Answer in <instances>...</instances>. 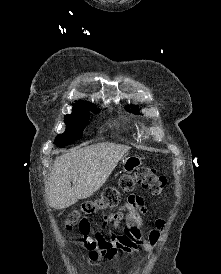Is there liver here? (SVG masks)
<instances>
[{"instance_id":"6515ba94","label":"liver","mask_w":221,"mask_h":274,"mask_svg":"<svg viewBox=\"0 0 221 274\" xmlns=\"http://www.w3.org/2000/svg\"><path fill=\"white\" fill-rule=\"evenodd\" d=\"M129 150L130 147L124 145L99 143L57 157L46 188L48 204L55 209H65L91 197Z\"/></svg>"}]
</instances>
